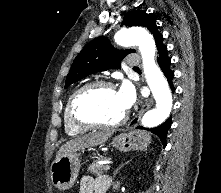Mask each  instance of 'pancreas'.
Returning <instances> with one entry per match:
<instances>
[{"instance_id":"cf45deb5","label":"pancreas","mask_w":221,"mask_h":193,"mask_svg":"<svg viewBox=\"0 0 221 193\" xmlns=\"http://www.w3.org/2000/svg\"><path fill=\"white\" fill-rule=\"evenodd\" d=\"M103 160H108V159L103 158ZM105 166L106 165H100V164H97L96 162H92L88 166V171L93 173L95 176H101L103 172H105Z\"/></svg>"}]
</instances>
